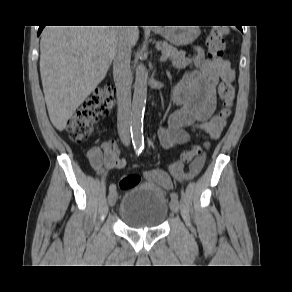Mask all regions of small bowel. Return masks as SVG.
Segmentation results:
<instances>
[{"label": "small bowel", "instance_id": "obj_1", "mask_svg": "<svg viewBox=\"0 0 292 292\" xmlns=\"http://www.w3.org/2000/svg\"><path fill=\"white\" fill-rule=\"evenodd\" d=\"M189 64H193V68L186 73L173 97L180 108L169 117L167 126L159 130V140L164 148L187 143L191 138L188 128L205 129L211 138H217L225 126V119L216 115V86L220 80L228 83L234 80L231 63L222 58H206L204 51L198 47L194 49L191 58L175 61L178 68ZM208 145L206 143V147ZM87 157L90 166L99 174L126 166V159L121 156L115 139L105 140L100 146H92ZM204 161L205 156L201 155L193 160L189 170H185L183 164L175 162L169 166L168 171L146 170L143 176L147 181L171 190L174 180L185 181L198 175Z\"/></svg>", "mask_w": 292, "mask_h": 292}]
</instances>
